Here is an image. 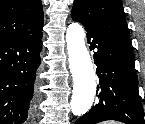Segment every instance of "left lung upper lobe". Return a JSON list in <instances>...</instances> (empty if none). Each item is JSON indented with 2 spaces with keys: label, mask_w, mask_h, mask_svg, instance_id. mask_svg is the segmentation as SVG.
Here are the masks:
<instances>
[{
  "label": "left lung upper lobe",
  "mask_w": 145,
  "mask_h": 124,
  "mask_svg": "<svg viewBox=\"0 0 145 124\" xmlns=\"http://www.w3.org/2000/svg\"><path fill=\"white\" fill-rule=\"evenodd\" d=\"M72 13L96 30L131 49L121 0H74Z\"/></svg>",
  "instance_id": "left-lung-upper-lobe-1"
}]
</instances>
